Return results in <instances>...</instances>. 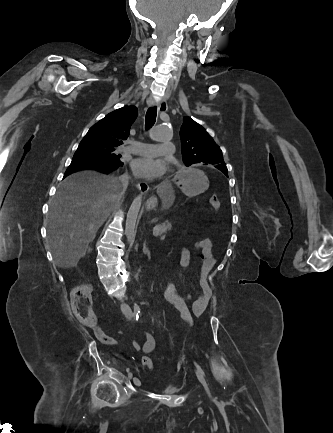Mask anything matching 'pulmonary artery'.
Masks as SVG:
<instances>
[{
	"mask_svg": "<svg viewBox=\"0 0 333 433\" xmlns=\"http://www.w3.org/2000/svg\"><path fill=\"white\" fill-rule=\"evenodd\" d=\"M127 150L135 155L150 157L155 155H172L174 153V146L168 141L160 145L139 142L131 144L127 147Z\"/></svg>",
	"mask_w": 333,
	"mask_h": 433,
	"instance_id": "1",
	"label": "pulmonary artery"
}]
</instances>
